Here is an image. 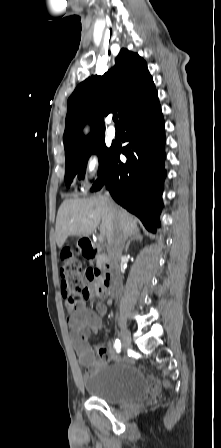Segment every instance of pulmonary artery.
<instances>
[{"label": "pulmonary artery", "instance_id": "obj_1", "mask_svg": "<svg viewBox=\"0 0 221 448\" xmlns=\"http://www.w3.org/2000/svg\"><path fill=\"white\" fill-rule=\"evenodd\" d=\"M107 135L109 138L114 139L116 137V130L113 126H109L108 130H107Z\"/></svg>", "mask_w": 221, "mask_h": 448}]
</instances>
